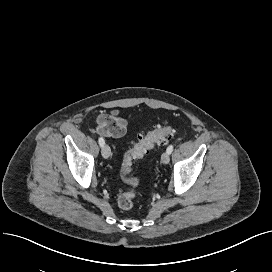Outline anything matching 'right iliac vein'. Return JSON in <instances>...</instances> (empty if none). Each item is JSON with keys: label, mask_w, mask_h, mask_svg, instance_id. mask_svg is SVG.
Returning <instances> with one entry per match:
<instances>
[{"label": "right iliac vein", "mask_w": 272, "mask_h": 272, "mask_svg": "<svg viewBox=\"0 0 272 272\" xmlns=\"http://www.w3.org/2000/svg\"><path fill=\"white\" fill-rule=\"evenodd\" d=\"M101 153H102L103 158L108 159L111 154L110 147L107 144H104L102 147Z\"/></svg>", "instance_id": "obj_1"}]
</instances>
